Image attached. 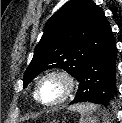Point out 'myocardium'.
I'll use <instances>...</instances> for the list:
<instances>
[{
    "instance_id": "f54148a6",
    "label": "myocardium",
    "mask_w": 122,
    "mask_h": 123,
    "mask_svg": "<svg viewBox=\"0 0 122 123\" xmlns=\"http://www.w3.org/2000/svg\"><path fill=\"white\" fill-rule=\"evenodd\" d=\"M50 77H57L60 78L61 80H63V82L65 83V91L63 93V95L53 101V102H44L41 97H40V88L42 83ZM78 86V81L77 78L68 70L65 69H56V70H51L47 73H45L37 82L36 84V88H35V99L42 105L46 106V107H54V106H58L64 102H66L76 91Z\"/></svg>"
}]
</instances>
